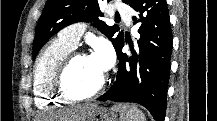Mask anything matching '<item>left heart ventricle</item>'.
I'll return each instance as SVG.
<instances>
[{
  "instance_id": "1",
  "label": "left heart ventricle",
  "mask_w": 217,
  "mask_h": 121,
  "mask_svg": "<svg viewBox=\"0 0 217 121\" xmlns=\"http://www.w3.org/2000/svg\"><path fill=\"white\" fill-rule=\"evenodd\" d=\"M104 76L91 57L78 58L69 69L65 82L71 95L84 96L93 92Z\"/></svg>"
}]
</instances>
